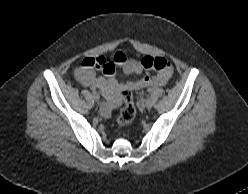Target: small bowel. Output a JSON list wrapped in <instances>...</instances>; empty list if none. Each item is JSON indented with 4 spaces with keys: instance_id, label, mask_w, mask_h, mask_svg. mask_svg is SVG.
Instances as JSON below:
<instances>
[{
    "instance_id": "1",
    "label": "small bowel",
    "mask_w": 248,
    "mask_h": 194,
    "mask_svg": "<svg viewBox=\"0 0 248 194\" xmlns=\"http://www.w3.org/2000/svg\"><path fill=\"white\" fill-rule=\"evenodd\" d=\"M143 61L144 59L127 57L123 52H117L110 62L102 56L88 57L76 68L74 76L83 86L99 89L106 98H110L121 89L140 90L164 86L168 83L173 73L170 62H168L166 70H157L154 75L146 73L143 77L126 83L117 81L115 78L116 68H121L126 75L141 74L144 70H148L144 67ZM93 63L97 66L91 65ZM111 107V103H105L101 108L102 114L108 116Z\"/></svg>"
}]
</instances>
